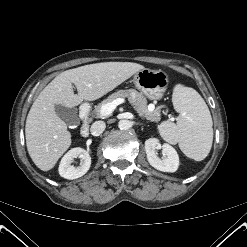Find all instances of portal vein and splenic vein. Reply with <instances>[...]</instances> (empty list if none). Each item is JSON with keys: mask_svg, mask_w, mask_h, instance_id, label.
Wrapping results in <instances>:
<instances>
[{"mask_svg": "<svg viewBox=\"0 0 247 247\" xmlns=\"http://www.w3.org/2000/svg\"><path fill=\"white\" fill-rule=\"evenodd\" d=\"M124 102H125L124 98H117L114 101H112L111 103H107V104L103 105L100 109L101 116H109L115 110V108L118 105H120Z\"/></svg>", "mask_w": 247, "mask_h": 247, "instance_id": "portal-vein-and-splenic-vein-1", "label": "portal vein and splenic vein"}]
</instances>
